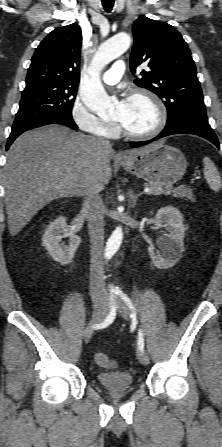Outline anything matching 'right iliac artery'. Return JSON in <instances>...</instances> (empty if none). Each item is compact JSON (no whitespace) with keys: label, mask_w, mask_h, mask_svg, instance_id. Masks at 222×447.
I'll return each instance as SVG.
<instances>
[{"label":"right iliac artery","mask_w":222,"mask_h":447,"mask_svg":"<svg viewBox=\"0 0 222 447\" xmlns=\"http://www.w3.org/2000/svg\"><path fill=\"white\" fill-rule=\"evenodd\" d=\"M111 303H112L111 310H110V313L108 314V316L106 317L105 321L103 323H101V324H97L95 326V328H104L105 326H107L108 324L113 322V320H114V318L116 316V307L114 305L112 297H111Z\"/></svg>","instance_id":"1"}]
</instances>
